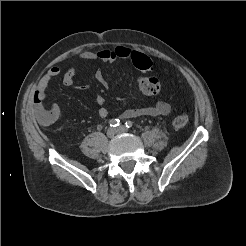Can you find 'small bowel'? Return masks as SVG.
Instances as JSON below:
<instances>
[{"label":"small bowel","mask_w":246,"mask_h":246,"mask_svg":"<svg viewBox=\"0 0 246 246\" xmlns=\"http://www.w3.org/2000/svg\"><path fill=\"white\" fill-rule=\"evenodd\" d=\"M132 50L125 46H118L114 49H103L97 52L84 51L79 54L81 60L87 61H102L106 63L114 62L118 59H131ZM75 66H71L63 75V84L68 87L75 86ZM62 73L60 67L54 66L48 70V72L38 82L37 89L34 93V103L36 108V114L38 120L43 125H50L55 123L62 116V110L60 107L54 105L47 107L46 102V90L50 82L58 77ZM96 80L103 85L108 87V82L101 71L95 73ZM82 88V87H81ZM84 88V87H83ZM96 101L100 106L98 115L100 118H106L108 116V110L104 106L105 99L101 95L96 96ZM171 111V106L165 101H158L152 106L131 108L127 109L122 113L123 118H136L141 116H167Z\"/></svg>","instance_id":"small-bowel-1"}]
</instances>
